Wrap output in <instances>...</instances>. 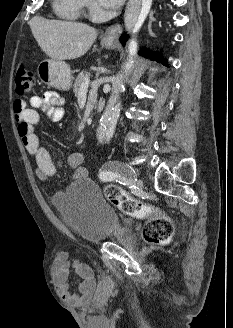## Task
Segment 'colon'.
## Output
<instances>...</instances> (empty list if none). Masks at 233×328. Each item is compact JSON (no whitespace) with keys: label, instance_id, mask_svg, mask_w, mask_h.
I'll return each mask as SVG.
<instances>
[{"label":"colon","instance_id":"5ec220e1","mask_svg":"<svg viewBox=\"0 0 233 328\" xmlns=\"http://www.w3.org/2000/svg\"><path fill=\"white\" fill-rule=\"evenodd\" d=\"M34 74L32 71L21 66L15 75V92L18 96L28 95L34 86ZM105 196L109 202L121 210L124 214L144 218L151 217L155 213L153 207L146 205L131 196L117 185L105 187ZM174 232V225L167 216L153 217L144 231V237L152 243L168 241Z\"/></svg>","mask_w":233,"mask_h":328}]
</instances>
